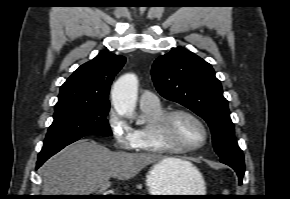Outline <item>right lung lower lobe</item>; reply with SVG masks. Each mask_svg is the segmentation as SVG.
I'll return each instance as SVG.
<instances>
[{
	"label": "right lung lower lobe",
	"instance_id": "98d812e1",
	"mask_svg": "<svg viewBox=\"0 0 290 199\" xmlns=\"http://www.w3.org/2000/svg\"><path fill=\"white\" fill-rule=\"evenodd\" d=\"M61 149L62 148H59V149H56V150H51V151L40 152L39 155H38L36 169H38L48 158H50L52 155L56 154Z\"/></svg>",
	"mask_w": 290,
	"mask_h": 199
}]
</instances>
